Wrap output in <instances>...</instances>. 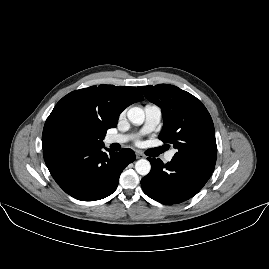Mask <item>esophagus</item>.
<instances>
[{
	"label": "esophagus",
	"instance_id": "esophagus-1",
	"mask_svg": "<svg viewBox=\"0 0 269 269\" xmlns=\"http://www.w3.org/2000/svg\"><path fill=\"white\" fill-rule=\"evenodd\" d=\"M136 158L137 159L144 158V155L140 152H136Z\"/></svg>",
	"mask_w": 269,
	"mask_h": 269
}]
</instances>
